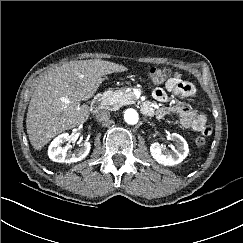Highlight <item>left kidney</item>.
<instances>
[{
    "instance_id": "5707ae66",
    "label": "left kidney",
    "mask_w": 243,
    "mask_h": 243,
    "mask_svg": "<svg viewBox=\"0 0 243 243\" xmlns=\"http://www.w3.org/2000/svg\"><path fill=\"white\" fill-rule=\"evenodd\" d=\"M171 138L177 142L178 148L169 151L159 143H153L150 146L152 157L164 166H173L181 163L188 155L189 148L186 140L177 133H172Z\"/></svg>"
}]
</instances>
